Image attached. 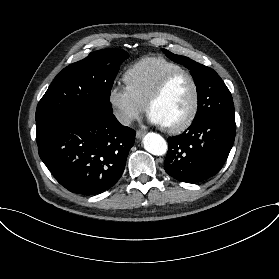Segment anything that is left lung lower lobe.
I'll use <instances>...</instances> for the list:
<instances>
[{
  "label": "left lung lower lobe",
  "instance_id": "obj_1",
  "mask_svg": "<svg viewBox=\"0 0 279 279\" xmlns=\"http://www.w3.org/2000/svg\"><path fill=\"white\" fill-rule=\"evenodd\" d=\"M235 117L204 116L178 136L168 138L164 168L181 182L195 183L219 172L233 146Z\"/></svg>",
  "mask_w": 279,
  "mask_h": 279
}]
</instances>
